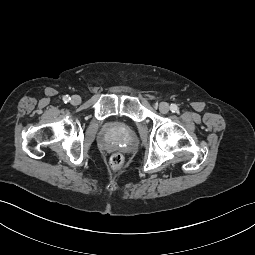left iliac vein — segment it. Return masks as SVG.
<instances>
[{"label":"left iliac vein","mask_w":255,"mask_h":255,"mask_svg":"<svg viewBox=\"0 0 255 255\" xmlns=\"http://www.w3.org/2000/svg\"><path fill=\"white\" fill-rule=\"evenodd\" d=\"M169 104L167 102H161L159 105V110L161 113L166 114L169 112Z\"/></svg>","instance_id":"left-iliac-vein-1"}]
</instances>
